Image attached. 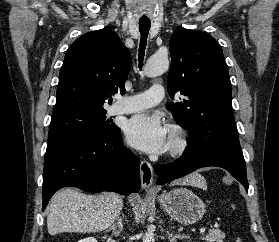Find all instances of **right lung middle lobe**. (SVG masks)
I'll return each instance as SVG.
<instances>
[{"label":"right lung middle lobe","mask_w":279,"mask_h":242,"mask_svg":"<svg viewBox=\"0 0 279 242\" xmlns=\"http://www.w3.org/2000/svg\"><path fill=\"white\" fill-rule=\"evenodd\" d=\"M118 129L106 120V110H73L52 114L47 150L75 141L103 138Z\"/></svg>","instance_id":"1"}]
</instances>
